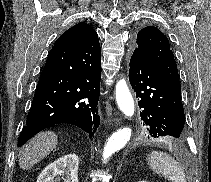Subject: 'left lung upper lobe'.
<instances>
[{
  "label": "left lung upper lobe",
  "instance_id": "left-lung-upper-lobe-1",
  "mask_svg": "<svg viewBox=\"0 0 211 182\" xmlns=\"http://www.w3.org/2000/svg\"><path fill=\"white\" fill-rule=\"evenodd\" d=\"M165 77L176 90L181 91V84L176 61L168 38L156 27L147 26L137 34L136 48Z\"/></svg>",
  "mask_w": 211,
  "mask_h": 182
}]
</instances>
